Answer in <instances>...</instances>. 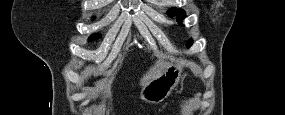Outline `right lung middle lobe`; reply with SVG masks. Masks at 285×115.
<instances>
[{
	"label": "right lung middle lobe",
	"instance_id": "right-lung-middle-lobe-1",
	"mask_svg": "<svg viewBox=\"0 0 285 115\" xmlns=\"http://www.w3.org/2000/svg\"><path fill=\"white\" fill-rule=\"evenodd\" d=\"M100 37H101V35H100V34H94V35H92V36L89 38V41H92V40L98 39V38H100Z\"/></svg>",
	"mask_w": 285,
	"mask_h": 115
}]
</instances>
